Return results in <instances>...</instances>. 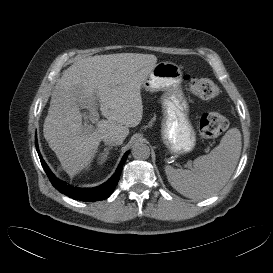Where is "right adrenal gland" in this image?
Returning a JSON list of instances; mask_svg holds the SVG:
<instances>
[{
    "instance_id": "obj_1",
    "label": "right adrenal gland",
    "mask_w": 273,
    "mask_h": 273,
    "mask_svg": "<svg viewBox=\"0 0 273 273\" xmlns=\"http://www.w3.org/2000/svg\"><path fill=\"white\" fill-rule=\"evenodd\" d=\"M112 148H113L112 146H111V147H106V148L104 149V152L101 153V154L99 155V158L101 159L100 164H103V163L107 160L108 155H109V151H110Z\"/></svg>"
}]
</instances>
